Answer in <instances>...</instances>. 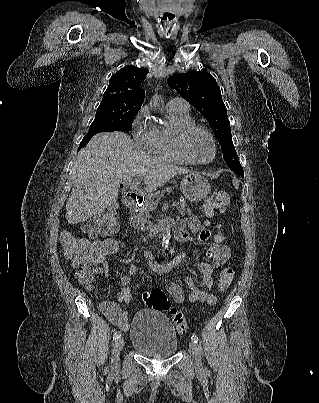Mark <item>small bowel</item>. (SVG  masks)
Returning a JSON list of instances; mask_svg holds the SVG:
<instances>
[{"label":"small bowel","mask_w":319,"mask_h":403,"mask_svg":"<svg viewBox=\"0 0 319 403\" xmlns=\"http://www.w3.org/2000/svg\"><path fill=\"white\" fill-rule=\"evenodd\" d=\"M186 225L191 233L186 230ZM175 236L182 243L201 244L211 238V232L207 230L196 217L187 218L185 223H177L175 226ZM114 239V238H113ZM207 258L210 262L199 261L197 267L202 274L203 283L206 289L197 287L192 278L186 277L185 283L190 289L189 301L192 303L201 302L209 306H214L217 303L216 296L210 291L213 286V275L217 267L222 266L229 257V247L226 243H218L217 239L209 246L207 250ZM148 259L149 267L156 273H167L176 265L185 262L189 259V253L181 252L176 258L166 264L159 263L153 259L149 253L145 254ZM98 271L102 275L109 273V265L101 254L98 260ZM137 265L132 264L128 269V273L121 279V286L118 295L119 302L104 301L100 304V309L109 321L118 329L126 332L129 329L128 314L121 307V303H128L131 300L130 282L132 277L137 273ZM169 295L173 300L180 304L184 301L185 296L182 288L173 282L167 283L165 286Z\"/></svg>","instance_id":"small-bowel-1"}]
</instances>
